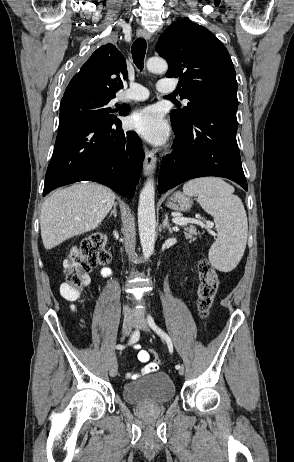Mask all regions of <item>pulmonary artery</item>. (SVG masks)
<instances>
[{"label": "pulmonary artery", "instance_id": "1", "mask_svg": "<svg viewBox=\"0 0 294 462\" xmlns=\"http://www.w3.org/2000/svg\"><path fill=\"white\" fill-rule=\"evenodd\" d=\"M175 86L170 82L169 79H161L157 85V90L164 94L172 93ZM149 97V90L138 84L131 83L129 89L123 92L122 100L124 101H143ZM187 103V100H184Z\"/></svg>", "mask_w": 294, "mask_h": 462}]
</instances>
